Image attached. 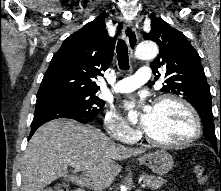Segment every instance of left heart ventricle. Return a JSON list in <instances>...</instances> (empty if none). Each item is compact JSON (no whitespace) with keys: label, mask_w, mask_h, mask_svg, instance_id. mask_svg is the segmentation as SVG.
I'll return each mask as SVG.
<instances>
[{"label":"left heart ventricle","mask_w":221,"mask_h":191,"mask_svg":"<svg viewBox=\"0 0 221 191\" xmlns=\"http://www.w3.org/2000/svg\"><path fill=\"white\" fill-rule=\"evenodd\" d=\"M145 132L155 140L179 142L192 134L193 121L184 107L173 101H165L153 107Z\"/></svg>","instance_id":"b2bd125f"}]
</instances>
